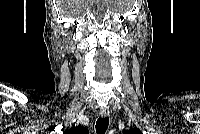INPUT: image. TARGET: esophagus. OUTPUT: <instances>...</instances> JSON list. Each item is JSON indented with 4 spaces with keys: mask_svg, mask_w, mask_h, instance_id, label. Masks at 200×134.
<instances>
[{
    "mask_svg": "<svg viewBox=\"0 0 200 134\" xmlns=\"http://www.w3.org/2000/svg\"><path fill=\"white\" fill-rule=\"evenodd\" d=\"M99 113L102 117H108L110 114L109 107H101Z\"/></svg>",
    "mask_w": 200,
    "mask_h": 134,
    "instance_id": "esophagus-1",
    "label": "esophagus"
}]
</instances>
